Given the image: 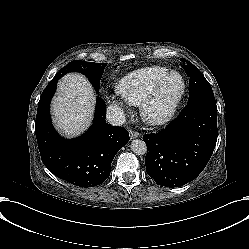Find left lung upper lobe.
I'll return each instance as SVG.
<instances>
[{
    "label": "left lung upper lobe",
    "instance_id": "obj_1",
    "mask_svg": "<svg viewBox=\"0 0 249 249\" xmlns=\"http://www.w3.org/2000/svg\"><path fill=\"white\" fill-rule=\"evenodd\" d=\"M185 61V59H181ZM182 68L186 70L190 85V94L188 101L205 96H214L212 88L202 73L189 61Z\"/></svg>",
    "mask_w": 249,
    "mask_h": 249
}]
</instances>
